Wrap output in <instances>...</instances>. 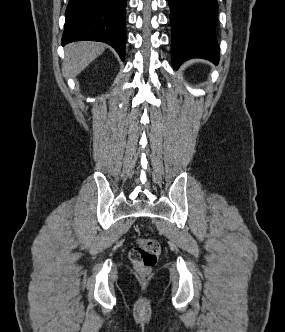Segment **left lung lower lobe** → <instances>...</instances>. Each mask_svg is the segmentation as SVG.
Returning a JSON list of instances; mask_svg holds the SVG:
<instances>
[{
  "mask_svg": "<svg viewBox=\"0 0 285 332\" xmlns=\"http://www.w3.org/2000/svg\"><path fill=\"white\" fill-rule=\"evenodd\" d=\"M168 3L174 69L191 58H203L217 64V0H168Z\"/></svg>",
  "mask_w": 285,
  "mask_h": 332,
  "instance_id": "obj_1",
  "label": "left lung lower lobe"
}]
</instances>
